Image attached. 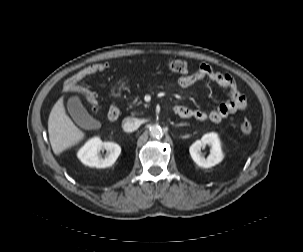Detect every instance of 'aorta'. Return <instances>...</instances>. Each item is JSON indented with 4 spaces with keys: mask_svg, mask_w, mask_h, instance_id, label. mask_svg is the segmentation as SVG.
<instances>
[{
    "mask_svg": "<svg viewBox=\"0 0 303 252\" xmlns=\"http://www.w3.org/2000/svg\"><path fill=\"white\" fill-rule=\"evenodd\" d=\"M150 136L153 138H161L163 136V130L159 125H153L150 127Z\"/></svg>",
    "mask_w": 303,
    "mask_h": 252,
    "instance_id": "1",
    "label": "aorta"
}]
</instances>
